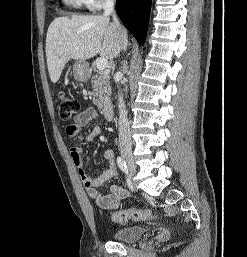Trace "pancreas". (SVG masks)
Returning <instances> with one entry per match:
<instances>
[{"instance_id": "1", "label": "pancreas", "mask_w": 247, "mask_h": 257, "mask_svg": "<svg viewBox=\"0 0 247 257\" xmlns=\"http://www.w3.org/2000/svg\"><path fill=\"white\" fill-rule=\"evenodd\" d=\"M93 88V103L98 109L106 108L110 104V76L105 72H98L91 78Z\"/></svg>"}]
</instances>
